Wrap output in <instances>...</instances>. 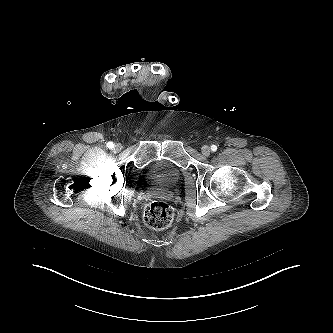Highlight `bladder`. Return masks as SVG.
<instances>
[{
	"label": "bladder",
	"mask_w": 333,
	"mask_h": 333,
	"mask_svg": "<svg viewBox=\"0 0 333 333\" xmlns=\"http://www.w3.org/2000/svg\"><path fill=\"white\" fill-rule=\"evenodd\" d=\"M143 178L151 184L171 186L181 177V169L170 159H156L142 169Z\"/></svg>",
	"instance_id": "bladder-1"
}]
</instances>
